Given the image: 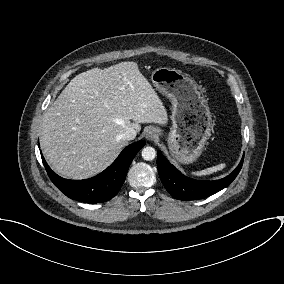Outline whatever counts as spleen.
<instances>
[{
	"mask_svg": "<svg viewBox=\"0 0 284 284\" xmlns=\"http://www.w3.org/2000/svg\"><path fill=\"white\" fill-rule=\"evenodd\" d=\"M224 167H225V164L222 163V164L213 166L211 168H207V169H204V170H201V171L193 172L192 174L197 175V176L210 175L214 172L222 170Z\"/></svg>",
	"mask_w": 284,
	"mask_h": 284,
	"instance_id": "1",
	"label": "spleen"
}]
</instances>
